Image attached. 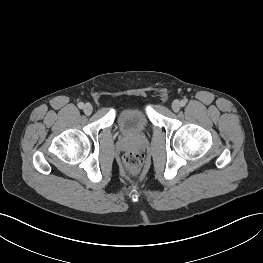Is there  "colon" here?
Returning a JSON list of instances; mask_svg holds the SVG:
<instances>
[{"label":"colon","mask_w":263,"mask_h":263,"mask_svg":"<svg viewBox=\"0 0 263 263\" xmlns=\"http://www.w3.org/2000/svg\"><path fill=\"white\" fill-rule=\"evenodd\" d=\"M123 161L125 166L133 173H138L144 166L145 156L139 151H128L124 157Z\"/></svg>","instance_id":"1"}]
</instances>
